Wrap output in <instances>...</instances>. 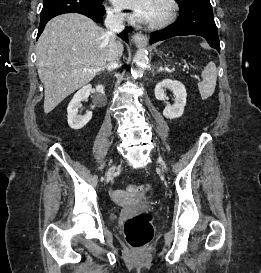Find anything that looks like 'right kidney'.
Listing matches in <instances>:
<instances>
[{
  "label": "right kidney",
  "instance_id": "obj_1",
  "mask_svg": "<svg viewBox=\"0 0 261 273\" xmlns=\"http://www.w3.org/2000/svg\"><path fill=\"white\" fill-rule=\"evenodd\" d=\"M92 91L91 85H85L74 95L67 107L68 124L72 129L79 130L83 128L92 118V112H87L84 116L78 115V109L81 107V101L88 98ZM97 97L104 99V86H96Z\"/></svg>",
  "mask_w": 261,
  "mask_h": 273
}]
</instances>
